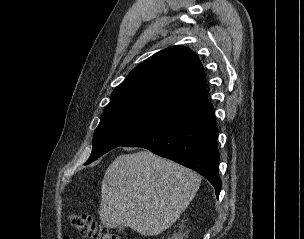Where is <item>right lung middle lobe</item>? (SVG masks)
Segmentation results:
<instances>
[{
	"label": "right lung middle lobe",
	"instance_id": "obj_1",
	"mask_svg": "<svg viewBox=\"0 0 304 239\" xmlns=\"http://www.w3.org/2000/svg\"><path fill=\"white\" fill-rule=\"evenodd\" d=\"M169 118L142 109H125L103 113L94 133L93 149L88 163L111 149L145 134Z\"/></svg>",
	"mask_w": 304,
	"mask_h": 239
}]
</instances>
